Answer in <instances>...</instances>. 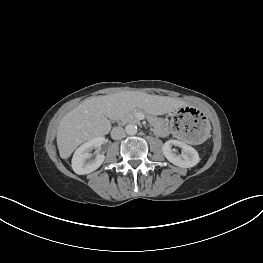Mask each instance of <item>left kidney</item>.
Returning a JSON list of instances; mask_svg holds the SVG:
<instances>
[{"label": "left kidney", "mask_w": 263, "mask_h": 263, "mask_svg": "<svg viewBox=\"0 0 263 263\" xmlns=\"http://www.w3.org/2000/svg\"><path fill=\"white\" fill-rule=\"evenodd\" d=\"M172 146L181 148L183 151L182 154H177ZM162 151L169 162L182 168L193 167L197 165L200 160L198 152L193 147L178 140L171 139L166 141L162 147Z\"/></svg>", "instance_id": "5707ae66"}]
</instances>
